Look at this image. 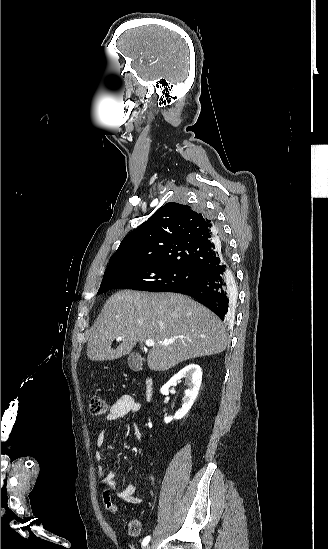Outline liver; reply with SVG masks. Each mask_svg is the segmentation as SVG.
Segmentation results:
<instances>
[{
	"mask_svg": "<svg viewBox=\"0 0 328 549\" xmlns=\"http://www.w3.org/2000/svg\"><path fill=\"white\" fill-rule=\"evenodd\" d=\"M117 337L124 339L111 349ZM173 337L181 339L161 345ZM148 339L155 343L147 357L151 371H168L187 359L217 355L229 343L221 319L191 297L126 289L109 297L88 331L87 357L90 361L120 359Z\"/></svg>",
	"mask_w": 328,
	"mask_h": 549,
	"instance_id": "1",
	"label": "liver"
}]
</instances>
